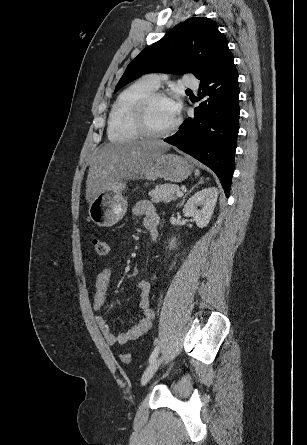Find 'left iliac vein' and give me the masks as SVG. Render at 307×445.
<instances>
[{
	"label": "left iliac vein",
	"mask_w": 307,
	"mask_h": 445,
	"mask_svg": "<svg viewBox=\"0 0 307 445\" xmlns=\"http://www.w3.org/2000/svg\"><path fill=\"white\" fill-rule=\"evenodd\" d=\"M161 361H162L161 358L157 357L146 368V370L144 371V373L142 375V379H141V383L143 385L146 384L153 377V375L157 371Z\"/></svg>",
	"instance_id": "1"
}]
</instances>
